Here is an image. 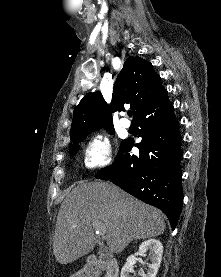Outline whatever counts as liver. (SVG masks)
Returning <instances> with one entry per match:
<instances>
[{"label":"liver","mask_w":221,"mask_h":277,"mask_svg":"<svg viewBox=\"0 0 221 277\" xmlns=\"http://www.w3.org/2000/svg\"><path fill=\"white\" fill-rule=\"evenodd\" d=\"M105 227L111 254L122 252L132 240L157 237L165 231L163 214L107 182L81 183L61 204L53 241L60 264L89 254L95 244L93 223Z\"/></svg>","instance_id":"6515ba94"}]
</instances>
